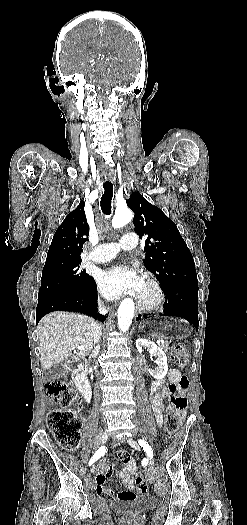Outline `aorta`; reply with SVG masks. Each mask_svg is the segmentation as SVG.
Masks as SVG:
<instances>
[{"label": "aorta", "instance_id": "obj_1", "mask_svg": "<svg viewBox=\"0 0 247 525\" xmlns=\"http://www.w3.org/2000/svg\"><path fill=\"white\" fill-rule=\"evenodd\" d=\"M133 219V213L130 209H122L115 211L112 219V226L114 228H121ZM134 302L130 298L124 299L118 309V326L123 332H126L133 320L134 316Z\"/></svg>", "mask_w": 247, "mask_h": 525}]
</instances>
